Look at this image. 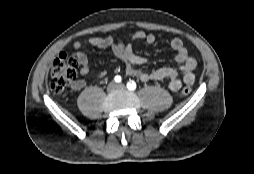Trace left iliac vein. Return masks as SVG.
I'll return each instance as SVG.
<instances>
[{
	"mask_svg": "<svg viewBox=\"0 0 254 174\" xmlns=\"http://www.w3.org/2000/svg\"><path fill=\"white\" fill-rule=\"evenodd\" d=\"M117 87L120 88V89H122V88H124L125 86H124L123 84H118Z\"/></svg>",
	"mask_w": 254,
	"mask_h": 174,
	"instance_id": "4c4485c4",
	"label": "left iliac vein"
}]
</instances>
